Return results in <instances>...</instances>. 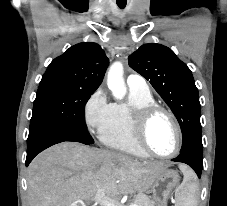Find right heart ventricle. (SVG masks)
Returning <instances> with one entry per match:
<instances>
[{
	"label": "right heart ventricle",
	"instance_id": "obj_1",
	"mask_svg": "<svg viewBox=\"0 0 227 206\" xmlns=\"http://www.w3.org/2000/svg\"><path fill=\"white\" fill-rule=\"evenodd\" d=\"M156 103L151 92L130 90L125 103H112L108 125L100 134L107 147L140 158L149 157L136 143L133 136V112L141 107Z\"/></svg>",
	"mask_w": 227,
	"mask_h": 206
}]
</instances>
